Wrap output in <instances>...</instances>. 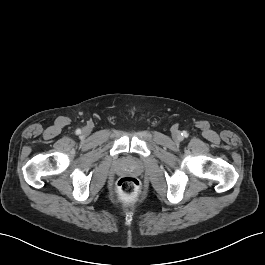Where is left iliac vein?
<instances>
[{
    "instance_id": "obj_1",
    "label": "left iliac vein",
    "mask_w": 265,
    "mask_h": 265,
    "mask_svg": "<svg viewBox=\"0 0 265 265\" xmlns=\"http://www.w3.org/2000/svg\"><path fill=\"white\" fill-rule=\"evenodd\" d=\"M174 137L176 138V139H180V133L179 132H174Z\"/></svg>"
}]
</instances>
